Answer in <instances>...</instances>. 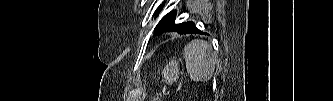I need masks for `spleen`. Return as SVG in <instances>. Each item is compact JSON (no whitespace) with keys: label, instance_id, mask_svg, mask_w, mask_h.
I'll return each instance as SVG.
<instances>
[{"label":"spleen","instance_id":"obj_1","mask_svg":"<svg viewBox=\"0 0 333 101\" xmlns=\"http://www.w3.org/2000/svg\"><path fill=\"white\" fill-rule=\"evenodd\" d=\"M187 73L196 82L209 81L214 73L217 55L207 41L192 40L184 48Z\"/></svg>","mask_w":333,"mask_h":101}]
</instances>
